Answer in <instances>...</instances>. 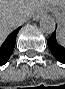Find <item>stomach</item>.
I'll list each match as a JSON object with an SVG mask.
<instances>
[{
    "instance_id": "stomach-1",
    "label": "stomach",
    "mask_w": 65,
    "mask_h": 89,
    "mask_svg": "<svg viewBox=\"0 0 65 89\" xmlns=\"http://www.w3.org/2000/svg\"><path fill=\"white\" fill-rule=\"evenodd\" d=\"M47 8L58 18L65 30V3L63 5H50Z\"/></svg>"
}]
</instances>
